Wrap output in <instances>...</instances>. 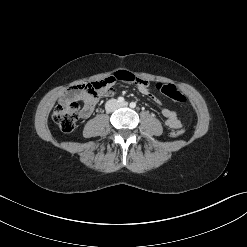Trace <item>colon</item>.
I'll list each match as a JSON object with an SVG mask.
<instances>
[{"mask_svg":"<svg viewBox=\"0 0 247 247\" xmlns=\"http://www.w3.org/2000/svg\"><path fill=\"white\" fill-rule=\"evenodd\" d=\"M115 83L116 79L114 77H108L100 81L75 87V89L54 108L52 112L53 121L63 132H72L75 129L80 112L79 104L75 101V94H83L84 101L94 104L99 95L103 91L115 87ZM156 89L176 103H184L186 101L185 96L172 84L158 83L156 84ZM183 133V129L177 128L172 131V136L179 137L183 135Z\"/></svg>","mask_w":247,"mask_h":247,"instance_id":"5ec220e1","label":"colon"}]
</instances>
